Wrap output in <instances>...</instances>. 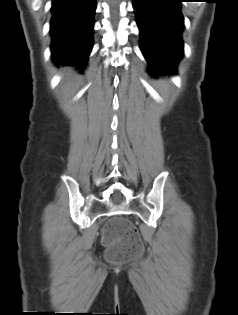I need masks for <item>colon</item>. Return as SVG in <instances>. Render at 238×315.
Instances as JSON below:
<instances>
[{"label":"colon","instance_id":"obj_1","mask_svg":"<svg viewBox=\"0 0 238 315\" xmlns=\"http://www.w3.org/2000/svg\"><path fill=\"white\" fill-rule=\"evenodd\" d=\"M103 242L109 247L108 258L123 262L139 256L142 243L132 222L123 217L110 219L104 227Z\"/></svg>","mask_w":238,"mask_h":315}]
</instances>
